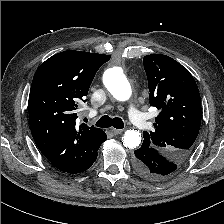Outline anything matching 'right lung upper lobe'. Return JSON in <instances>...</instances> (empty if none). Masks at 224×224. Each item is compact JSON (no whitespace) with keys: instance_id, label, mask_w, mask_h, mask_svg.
<instances>
[{"instance_id":"right-lung-upper-lobe-1","label":"right lung upper lobe","mask_w":224,"mask_h":224,"mask_svg":"<svg viewBox=\"0 0 224 224\" xmlns=\"http://www.w3.org/2000/svg\"><path fill=\"white\" fill-rule=\"evenodd\" d=\"M110 55L75 50L55 54L36 70L28 101L33 139L60 171L80 173L107 139L102 129L76 127L78 101Z\"/></svg>"}]
</instances>
